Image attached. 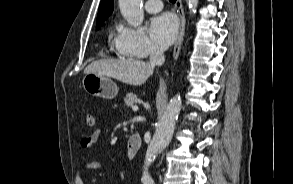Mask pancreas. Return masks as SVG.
Wrapping results in <instances>:
<instances>
[{"label":"pancreas","instance_id":"1","mask_svg":"<svg viewBox=\"0 0 293 184\" xmlns=\"http://www.w3.org/2000/svg\"><path fill=\"white\" fill-rule=\"evenodd\" d=\"M139 101L138 97L133 93H128L124 98L126 106H134Z\"/></svg>","mask_w":293,"mask_h":184}]
</instances>
